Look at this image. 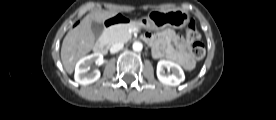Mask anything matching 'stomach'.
<instances>
[{"label": "stomach", "mask_w": 276, "mask_h": 120, "mask_svg": "<svg viewBox=\"0 0 276 120\" xmlns=\"http://www.w3.org/2000/svg\"><path fill=\"white\" fill-rule=\"evenodd\" d=\"M190 16L188 13L181 10L172 11H151L147 17L141 18L136 22L141 28L149 30H162L166 27L175 29L183 28L189 21Z\"/></svg>", "instance_id": "1"}]
</instances>
